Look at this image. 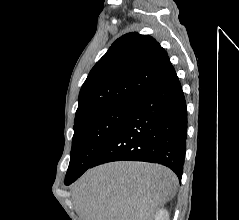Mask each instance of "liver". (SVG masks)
Wrapping results in <instances>:
<instances>
[{"mask_svg":"<svg viewBox=\"0 0 239 220\" xmlns=\"http://www.w3.org/2000/svg\"><path fill=\"white\" fill-rule=\"evenodd\" d=\"M177 185L164 166L116 161L88 170L75 183L73 198L81 220H153Z\"/></svg>","mask_w":239,"mask_h":220,"instance_id":"obj_1","label":"liver"}]
</instances>
